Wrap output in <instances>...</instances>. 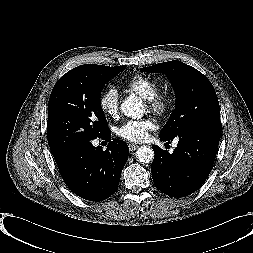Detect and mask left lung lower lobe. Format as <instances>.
<instances>
[{"label":"left lung lower lobe","mask_w":253,"mask_h":253,"mask_svg":"<svg viewBox=\"0 0 253 253\" xmlns=\"http://www.w3.org/2000/svg\"><path fill=\"white\" fill-rule=\"evenodd\" d=\"M220 136L221 129L193 127L177 136L178 146L172 154L153 145L151 173L156 188L172 197H185L198 190L211 172Z\"/></svg>","instance_id":"1"}]
</instances>
